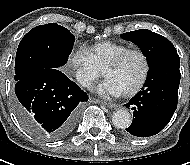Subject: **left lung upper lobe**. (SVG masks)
Instances as JSON below:
<instances>
[{
	"label": "left lung upper lobe",
	"mask_w": 190,
	"mask_h": 165,
	"mask_svg": "<svg viewBox=\"0 0 190 165\" xmlns=\"http://www.w3.org/2000/svg\"><path fill=\"white\" fill-rule=\"evenodd\" d=\"M121 37L133 42L141 49L149 67L164 59L178 56L175 47L167 38L150 30L131 31L121 34Z\"/></svg>",
	"instance_id": "left-lung-upper-lobe-1"
}]
</instances>
